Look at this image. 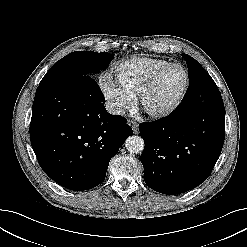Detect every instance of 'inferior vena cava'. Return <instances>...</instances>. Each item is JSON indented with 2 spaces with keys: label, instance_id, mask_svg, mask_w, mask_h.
<instances>
[{
  "label": "inferior vena cava",
  "instance_id": "inferior-vena-cava-1",
  "mask_svg": "<svg viewBox=\"0 0 247 247\" xmlns=\"http://www.w3.org/2000/svg\"><path fill=\"white\" fill-rule=\"evenodd\" d=\"M105 108L112 115H121L123 113V109L119 104L110 101L105 103Z\"/></svg>",
  "mask_w": 247,
  "mask_h": 247
}]
</instances>
